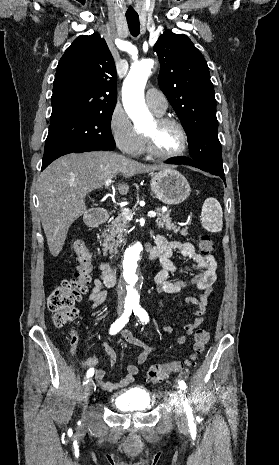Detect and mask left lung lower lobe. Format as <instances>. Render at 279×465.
<instances>
[{
  "label": "left lung lower lobe",
  "instance_id": "left-lung-lower-lobe-1",
  "mask_svg": "<svg viewBox=\"0 0 279 465\" xmlns=\"http://www.w3.org/2000/svg\"><path fill=\"white\" fill-rule=\"evenodd\" d=\"M166 163H168V164H186V165H190V166L199 168V169H201L203 171L209 172L211 174L220 176L223 179V181L225 182L224 175L216 174V173L210 171L209 169H207L206 167H204L202 164H200V163H198L196 161L190 160V159H185V158L174 159V158H172V159L167 160Z\"/></svg>",
  "mask_w": 279,
  "mask_h": 465
}]
</instances>
